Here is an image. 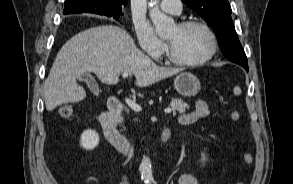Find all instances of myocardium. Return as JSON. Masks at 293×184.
I'll return each mask as SVG.
<instances>
[{"label": "myocardium", "instance_id": "obj_1", "mask_svg": "<svg viewBox=\"0 0 293 184\" xmlns=\"http://www.w3.org/2000/svg\"><path fill=\"white\" fill-rule=\"evenodd\" d=\"M178 27L180 29H187V28H191V27L202 28L209 36L210 49L203 57H201L197 60H183L174 54L170 45L168 44L167 45V57L171 62H173L174 64H177V65H180V66L194 67V66L202 65L214 57V55L216 54L217 49H218V41H217V37H216L215 32L206 22L200 21V20H188V21H183V22L179 23Z\"/></svg>", "mask_w": 293, "mask_h": 184}]
</instances>
